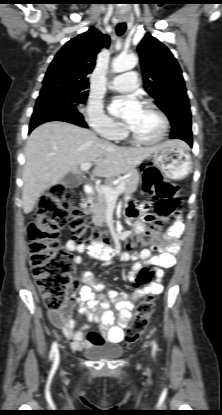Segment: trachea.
Instances as JSON below:
<instances>
[{
    "label": "trachea",
    "mask_w": 222,
    "mask_h": 415,
    "mask_svg": "<svg viewBox=\"0 0 222 415\" xmlns=\"http://www.w3.org/2000/svg\"><path fill=\"white\" fill-rule=\"evenodd\" d=\"M126 31V23H119L116 27V33L121 36Z\"/></svg>",
    "instance_id": "1"
}]
</instances>
